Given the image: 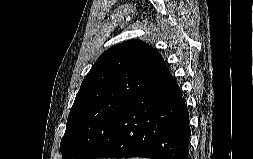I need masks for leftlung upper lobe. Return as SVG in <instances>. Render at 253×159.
I'll list each match as a JSON object with an SVG mask.
<instances>
[{
    "label": "left lung upper lobe",
    "mask_w": 253,
    "mask_h": 159,
    "mask_svg": "<svg viewBox=\"0 0 253 159\" xmlns=\"http://www.w3.org/2000/svg\"><path fill=\"white\" fill-rule=\"evenodd\" d=\"M167 68L141 40L106 50L82 81L61 140L62 159H94L123 109Z\"/></svg>",
    "instance_id": "5c2ea615"
}]
</instances>
